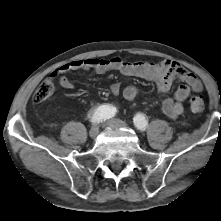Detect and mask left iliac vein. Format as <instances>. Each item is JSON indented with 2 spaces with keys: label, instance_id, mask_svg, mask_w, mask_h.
<instances>
[{
  "label": "left iliac vein",
  "instance_id": "obj_1",
  "mask_svg": "<svg viewBox=\"0 0 221 221\" xmlns=\"http://www.w3.org/2000/svg\"><path fill=\"white\" fill-rule=\"evenodd\" d=\"M107 124L114 129L128 128V125L119 119H111L107 122Z\"/></svg>",
  "mask_w": 221,
  "mask_h": 221
}]
</instances>
